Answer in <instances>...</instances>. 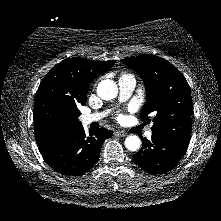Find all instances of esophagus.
<instances>
[{"label": "esophagus", "instance_id": "1", "mask_svg": "<svg viewBox=\"0 0 221 221\" xmlns=\"http://www.w3.org/2000/svg\"><path fill=\"white\" fill-rule=\"evenodd\" d=\"M114 135L120 136V137H125V136H127V133L124 132V131L117 130V131L114 132Z\"/></svg>", "mask_w": 221, "mask_h": 221}]
</instances>
